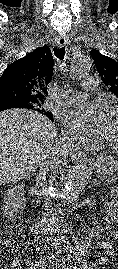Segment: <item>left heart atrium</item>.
Returning <instances> with one entry per match:
<instances>
[{
	"mask_svg": "<svg viewBox=\"0 0 118 269\" xmlns=\"http://www.w3.org/2000/svg\"><path fill=\"white\" fill-rule=\"evenodd\" d=\"M104 103H82L67 110L64 120L81 137L101 136L108 117Z\"/></svg>",
	"mask_w": 118,
	"mask_h": 269,
	"instance_id": "obj_1",
	"label": "left heart atrium"
}]
</instances>
